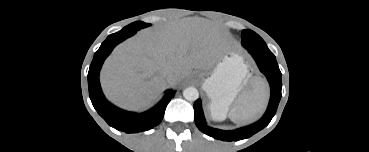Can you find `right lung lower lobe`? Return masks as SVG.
Instances as JSON below:
<instances>
[{
  "label": "right lung lower lobe",
  "instance_id": "1",
  "mask_svg": "<svg viewBox=\"0 0 369 152\" xmlns=\"http://www.w3.org/2000/svg\"><path fill=\"white\" fill-rule=\"evenodd\" d=\"M136 32L137 30H121L109 35L95 53L88 72L89 96L94 108L110 126L126 133L142 132L158 125L163 119L167 104L176 92L167 90L163 99L155 107L142 114L123 111L106 100L99 82L102 64L117 44Z\"/></svg>",
  "mask_w": 369,
  "mask_h": 152
}]
</instances>
